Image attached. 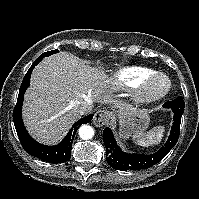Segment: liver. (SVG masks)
<instances>
[{"mask_svg": "<svg viewBox=\"0 0 199 199\" xmlns=\"http://www.w3.org/2000/svg\"><path fill=\"white\" fill-rule=\"evenodd\" d=\"M108 75L78 57L59 52L45 58L31 75L26 91L23 119L37 141L52 144L80 117L77 107L94 102L123 105L107 90Z\"/></svg>", "mask_w": 199, "mask_h": 199, "instance_id": "obj_1", "label": "liver"}]
</instances>
